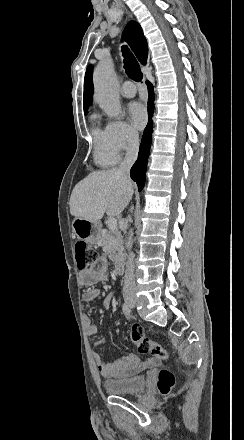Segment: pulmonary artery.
Here are the masks:
<instances>
[{
	"label": "pulmonary artery",
	"mask_w": 244,
	"mask_h": 440,
	"mask_svg": "<svg viewBox=\"0 0 244 440\" xmlns=\"http://www.w3.org/2000/svg\"><path fill=\"white\" fill-rule=\"evenodd\" d=\"M121 94L126 98H132L136 95V88L134 87L133 83L128 82L125 85V90H121Z\"/></svg>",
	"instance_id": "obj_1"
}]
</instances>
